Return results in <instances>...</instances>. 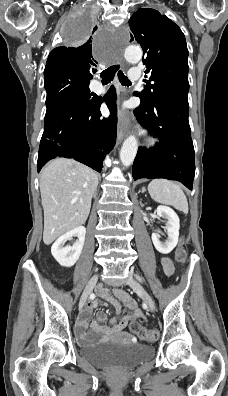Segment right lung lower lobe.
I'll return each mask as SVG.
<instances>
[{"instance_id":"right-lung-lower-lobe-1","label":"right lung lower lobe","mask_w":228,"mask_h":396,"mask_svg":"<svg viewBox=\"0 0 228 396\" xmlns=\"http://www.w3.org/2000/svg\"><path fill=\"white\" fill-rule=\"evenodd\" d=\"M105 101L110 116L101 119ZM116 93L113 87L104 98L71 99L47 111L37 170L56 157L73 158L101 172L103 160L116 142Z\"/></svg>"}]
</instances>
